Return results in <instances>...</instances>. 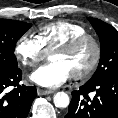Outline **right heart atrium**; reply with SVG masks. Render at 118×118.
I'll return each mask as SVG.
<instances>
[{
    "mask_svg": "<svg viewBox=\"0 0 118 118\" xmlns=\"http://www.w3.org/2000/svg\"><path fill=\"white\" fill-rule=\"evenodd\" d=\"M16 59L25 67H35L46 55L38 39L31 34H23L14 48Z\"/></svg>",
    "mask_w": 118,
    "mask_h": 118,
    "instance_id": "obj_1",
    "label": "right heart atrium"
}]
</instances>
